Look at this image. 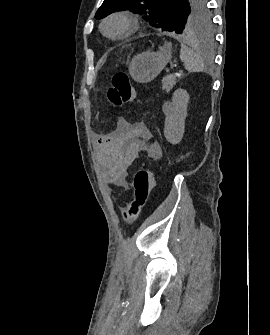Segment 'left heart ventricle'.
I'll return each instance as SVG.
<instances>
[{"label":"left heart ventricle","mask_w":270,"mask_h":335,"mask_svg":"<svg viewBox=\"0 0 270 335\" xmlns=\"http://www.w3.org/2000/svg\"><path fill=\"white\" fill-rule=\"evenodd\" d=\"M125 29V26L118 21H113L107 26V32L111 35H118L122 33Z\"/></svg>","instance_id":"1"}]
</instances>
